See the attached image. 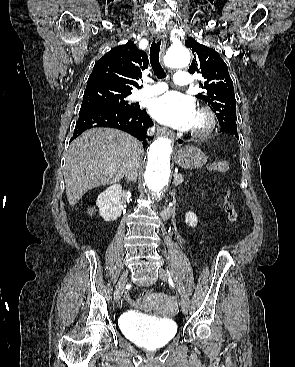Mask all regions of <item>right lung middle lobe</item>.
Segmentation results:
<instances>
[{
	"mask_svg": "<svg viewBox=\"0 0 295 367\" xmlns=\"http://www.w3.org/2000/svg\"><path fill=\"white\" fill-rule=\"evenodd\" d=\"M127 96L128 95H122L106 88H89L84 92L81 109L97 107H108L115 109L135 108L136 106L133 104H128V101L126 100Z\"/></svg>",
	"mask_w": 295,
	"mask_h": 367,
	"instance_id": "right-lung-middle-lobe-1",
	"label": "right lung middle lobe"
}]
</instances>
